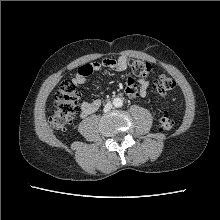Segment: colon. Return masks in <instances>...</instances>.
<instances>
[{
    "mask_svg": "<svg viewBox=\"0 0 220 220\" xmlns=\"http://www.w3.org/2000/svg\"><path fill=\"white\" fill-rule=\"evenodd\" d=\"M129 66L135 76L147 77L152 67L148 62L140 59H131ZM127 84H135L134 78L129 76ZM175 87V81L167 74L159 76L155 82V89L161 95H166ZM79 107V92L76 85L72 81H64L61 83L55 95L54 110L51 117L52 126L56 130H64L72 122ZM159 127L168 131L173 127L170 114L164 112L159 119Z\"/></svg>",
    "mask_w": 220,
    "mask_h": 220,
    "instance_id": "1",
    "label": "colon"
}]
</instances>
